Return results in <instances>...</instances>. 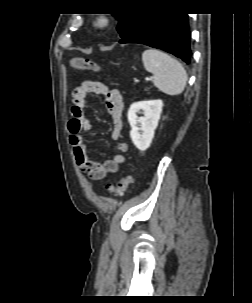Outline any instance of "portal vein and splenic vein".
Segmentation results:
<instances>
[{"label":"portal vein and splenic vein","instance_id":"1","mask_svg":"<svg viewBox=\"0 0 252 303\" xmlns=\"http://www.w3.org/2000/svg\"><path fill=\"white\" fill-rule=\"evenodd\" d=\"M145 80H146V81H149V80H150V78H149V77H146V78H145Z\"/></svg>","mask_w":252,"mask_h":303}]
</instances>
